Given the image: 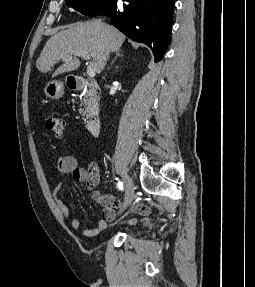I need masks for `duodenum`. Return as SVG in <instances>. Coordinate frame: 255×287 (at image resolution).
<instances>
[{
  "instance_id": "duodenum-1",
  "label": "duodenum",
  "mask_w": 255,
  "mask_h": 287,
  "mask_svg": "<svg viewBox=\"0 0 255 287\" xmlns=\"http://www.w3.org/2000/svg\"><path fill=\"white\" fill-rule=\"evenodd\" d=\"M69 88L74 90H81L86 88L95 89L96 85L93 82L84 79H75L69 82ZM100 117L98 115H93L87 123V129L89 133L93 136H97L100 131Z\"/></svg>"
}]
</instances>
